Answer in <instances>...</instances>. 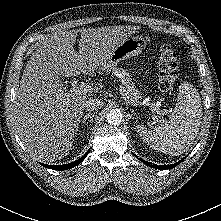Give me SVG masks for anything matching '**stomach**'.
<instances>
[{
    "instance_id": "obj_1",
    "label": "stomach",
    "mask_w": 221,
    "mask_h": 221,
    "mask_svg": "<svg viewBox=\"0 0 221 221\" xmlns=\"http://www.w3.org/2000/svg\"><path fill=\"white\" fill-rule=\"evenodd\" d=\"M146 45L147 41L143 37H128L111 52L101 69L106 71L115 69L122 60L141 54Z\"/></svg>"
}]
</instances>
